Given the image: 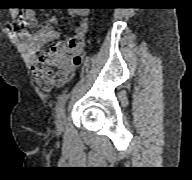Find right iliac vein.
Returning <instances> with one entry per match:
<instances>
[{"instance_id": "1", "label": "right iliac vein", "mask_w": 192, "mask_h": 180, "mask_svg": "<svg viewBox=\"0 0 192 180\" xmlns=\"http://www.w3.org/2000/svg\"><path fill=\"white\" fill-rule=\"evenodd\" d=\"M64 121H65V109L62 108L56 117V129L58 131H62L64 128Z\"/></svg>"}]
</instances>
